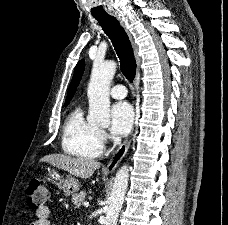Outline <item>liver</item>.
I'll list each match as a JSON object with an SVG mask.
<instances>
[{"mask_svg": "<svg viewBox=\"0 0 228 225\" xmlns=\"http://www.w3.org/2000/svg\"><path fill=\"white\" fill-rule=\"evenodd\" d=\"M40 163H50L53 167L68 171L70 175L81 177V179L92 177L94 171L100 169L101 165L97 161H89V159H82V157L74 159V157H66V155H47V157L40 159Z\"/></svg>", "mask_w": 228, "mask_h": 225, "instance_id": "obj_1", "label": "liver"}]
</instances>
